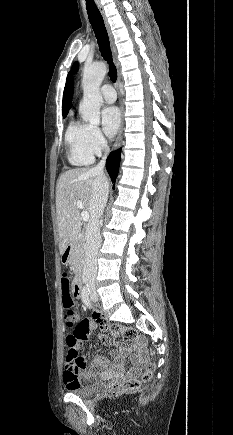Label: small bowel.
<instances>
[{
  "instance_id": "obj_1",
  "label": "small bowel",
  "mask_w": 233,
  "mask_h": 435,
  "mask_svg": "<svg viewBox=\"0 0 233 435\" xmlns=\"http://www.w3.org/2000/svg\"><path fill=\"white\" fill-rule=\"evenodd\" d=\"M60 292L62 296L70 294L74 295V288L73 285L70 284V281L68 283H64L61 279ZM93 316L99 321L102 330L101 334L96 335V339L103 345L112 347L110 352L111 357L116 360L124 358L127 354V351L120 345L116 344L115 340L107 334L109 326L101 319L100 313L96 311L93 313ZM95 328L96 322L94 320L89 318H79L78 322L73 328V331L67 336V340H74L76 342L77 348H79L80 345L89 338L92 330ZM132 350L135 357L132 360L133 365L127 371V374L131 376H138L142 373L145 367L143 355L146 353V347L142 344V339L137 338L132 341ZM82 360V364H76L74 362H70L67 357L64 359L62 365V382L68 389L75 388L88 382H93L96 375L99 374L106 375L115 370H117L120 374L124 372L121 365H111L109 359L104 356H94L89 362H86L83 357ZM84 369H87L88 372L83 373Z\"/></svg>"
}]
</instances>
